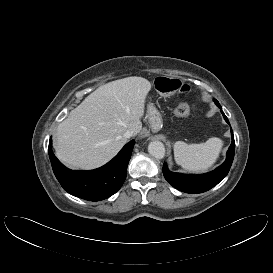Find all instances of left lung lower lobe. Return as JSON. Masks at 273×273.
I'll use <instances>...</instances> for the list:
<instances>
[{
  "instance_id": "0a47b994",
  "label": "left lung lower lobe",
  "mask_w": 273,
  "mask_h": 273,
  "mask_svg": "<svg viewBox=\"0 0 273 273\" xmlns=\"http://www.w3.org/2000/svg\"><path fill=\"white\" fill-rule=\"evenodd\" d=\"M216 105L221 109L218 101L215 102ZM222 112V111H221ZM224 119L229 124V121L225 114L222 112ZM232 143L227 152L225 162L212 172L202 174V175H184L179 173H174L168 170L166 163L163 165V175L165 179L176 189L186 192V193H202L210 190L216 186L220 181H222L228 174L231 164L234 158L235 152V141L233 137V132L231 129Z\"/></svg>"
}]
</instances>
